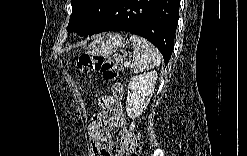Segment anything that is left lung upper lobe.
I'll return each mask as SVG.
<instances>
[{"instance_id":"obj_1","label":"left lung upper lobe","mask_w":247,"mask_h":156,"mask_svg":"<svg viewBox=\"0 0 247 156\" xmlns=\"http://www.w3.org/2000/svg\"><path fill=\"white\" fill-rule=\"evenodd\" d=\"M113 0H71L72 14L68 32L87 36L93 26L105 15Z\"/></svg>"}]
</instances>
